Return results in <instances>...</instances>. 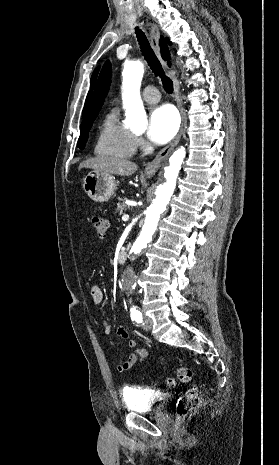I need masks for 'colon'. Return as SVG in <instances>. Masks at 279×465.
<instances>
[{
    "mask_svg": "<svg viewBox=\"0 0 279 465\" xmlns=\"http://www.w3.org/2000/svg\"><path fill=\"white\" fill-rule=\"evenodd\" d=\"M92 226L96 234L103 238L107 233V222L101 216L95 214L91 218ZM192 370L187 367H180L177 370V377L181 382H189L192 379ZM177 380L174 377H168L166 379V385L168 387H175ZM200 399L198 391L195 388L187 390L179 399L176 406V412L179 418H184L192 411H194L199 405Z\"/></svg>",
    "mask_w": 279,
    "mask_h": 465,
    "instance_id": "obj_1",
    "label": "colon"
}]
</instances>
